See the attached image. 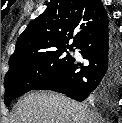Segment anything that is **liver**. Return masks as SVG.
I'll use <instances>...</instances> for the list:
<instances>
[{
    "instance_id": "6515ba94",
    "label": "liver",
    "mask_w": 122,
    "mask_h": 123,
    "mask_svg": "<svg viewBox=\"0 0 122 123\" xmlns=\"http://www.w3.org/2000/svg\"><path fill=\"white\" fill-rule=\"evenodd\" d=\"M98 114L87 105L52 91H32L20 99L11 123H96Z\"/></svg>"
}]
</instances>
